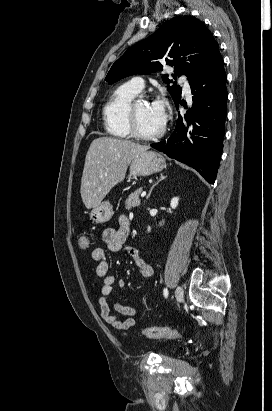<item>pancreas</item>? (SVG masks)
Masks as SVG:
<instances>
[{"label": "pancreas", "instance_id": "pancreas-1", "mask_svg": "<svg viewBox=\"0 0 272 411\" xmlns=\"http://www.w3.org/2000/svg\"><path fill=\"white\" fill-rule=\"evenodd\" d=\"M140 193H141V189H138L128 196L125 202L127 210H130L140 205V199H139Z\"/></svg>", "mask_w": 272, "mask_h": 411}]
</instances>
